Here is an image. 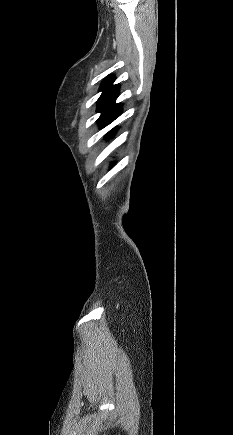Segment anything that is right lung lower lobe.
I'll use <instances>...</instances> for the list:
<instances>
[{"mask_svg":"<svg viewBox=\"0 0 233 435\" xmlns=\"http://www.w3.org/2000/svg\"><path fill=\"white\" fill-rule=\"evenodd\" d=\"M114 135V131H112L109 136L112 137Z\"/></svg>","mask_w":233,"mask_h":435,"instance_id":"obj_1","label":"right lung lower lobe"}]
</instances>
